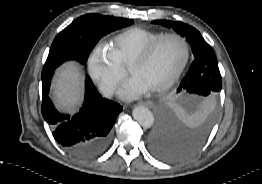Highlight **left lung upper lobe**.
<instances>
[{
  "instance_id": "left-lung-upper-lobe-1",
  "label": "left lung upper lobe",
  "mask_w": 262,
  "mask_h": 184,
  "mask_svg": "<svg viewBox=\"0 0 262 184\" xmlns=\"http://www.w3.org/2000/svg\"><path fill=\"white\" fill-rule=\"evenodd\" d=\"M153 23L173 28L180 35L184 36L192 48L195 60L207 54H214L211 46L203 39L200 32L194 27L185 23H178L174 21L156 20L153 21ZM203 67L195 66L193 62L188 73L180 83L177 92H188L207 98H210L218 93L222 89L221 76L217 73L213 74L210 72L211 69L206 70ZM163 117L166 119V115L163 114Z\"/></svg>"
}]
</instances>
